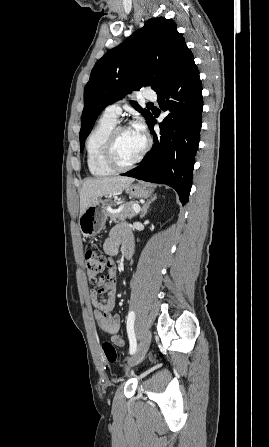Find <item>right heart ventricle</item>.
<instances>
[{"mask_svg":"<svg viewBox=\"0 0 269 447\" xmlns=\"http://www.w3.org/2000/svg\"><path fill=\"white\" fill-rule=\"evenodd\" d=\"M115 125L116 120L103 114L87 138V166L94 176H106L115 171L104 159L105 143Z\"/></svg>","mask_w":269,"mask_h":447,"instance_id":"e07e8e85","label":"right heart ventricle"}]
</instances>
